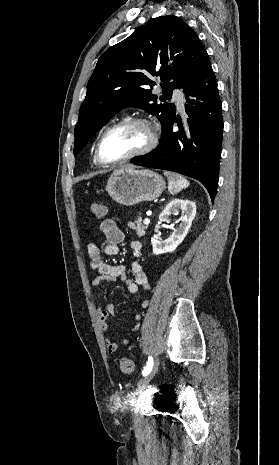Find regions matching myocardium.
<instances>
[{
	"mask_svg": "<svg viewBox=\"0 0 279 465\" xmlns=\"http://www.w3.org/2000/svg\"><path fill=\"white\" fill-rule=\"evenodd\" d=\"M129 125H141V126L145 127L147 132H148V141H147V143L141 149H139L138 151H135V152L123 157V158H120V159L114 160V161L105 160L102 157V154H101V147H102V143H103L105 137L111 131H113V130H115L117 128H120V127L129 126ZM157 141H158L157 129L154 126V124L151 121H149L148 119L143 118V117H134V118L123 119V120H120V121H118L116 123L111 124L110 126H108L102 132V134L100 135V137H99V139L97 141V144H96L95 157L97 159V162L100 165H103V166H115V165L125 163L127 161L132 160V159H135V158H138V157H141V156H144V155L150 153L156 147Z\"/></svg>",
	"mask_w": 279,
	"mask_h": 465,
	"instance_id": "1",
	"label": "myocardium"
}]
</instances>
